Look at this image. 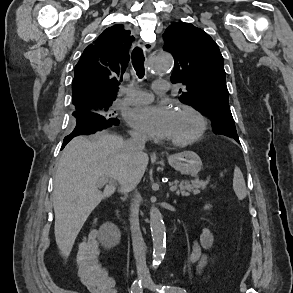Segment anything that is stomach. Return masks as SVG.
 I'll list each match as a JSON object with an SVG mask.
<instances>
[{
	"label": "stomach",
	"instance_id": "1",
	"mask_svg": "<svg viewBox=\"0 0 293 293\" xmlns=\"http://www.w3.org/2000/svg\"><path fill=\"white\" fill-rule=\"evenodd\" d=\"M169 164L182 175L197 176L202 168L201 158L193 151H184L168 157Z\"/></svg>",
	"mask_w": 293,
	"mask_h": 293
}]
</instances>
